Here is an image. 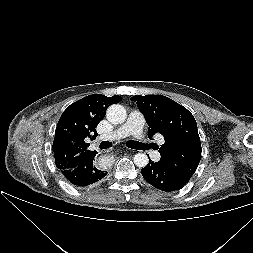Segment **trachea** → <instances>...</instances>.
I'll return each mask as SVG.
<instances>
[{
  "instance_id": "obj_1",
  "label": "trachea",
  "mask_w": 253,
  "mask_h": 253,
  "mask_svg": "<svg viewBox=\"0 0 253 253\" xmlns=\"http://www.w3.org/2000/svg\"><path fill=\"white\" fill-rule=\"evenodd\" d=\"M127 147L128 148H131V149H136V150H144L147 148V146L143 143H140L138 141H134V140H129L127 143H126ZM112 144L108 141H102L101 144H100V149H108L109 147H111Z\"/></svg>"
}]
</instances>
